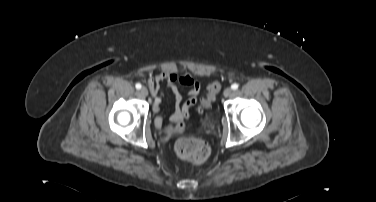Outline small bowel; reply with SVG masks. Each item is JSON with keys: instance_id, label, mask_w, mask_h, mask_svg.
Here are the masks:
<instances>
[{"instance_id": "small-bowel-1", "label": "small bowel", "mask_w": 376, "mask_h": 202, "mask_svg": "<svg viewBox=\"0 0 376 202\" xmlns=\"http://www.w3.org/2000/svg\"><path fill=\"white\" fill-rule=\"evenodd\" d=\"M162 83H166L171 88L175 98L174 111L170 116V120L175 123H181L183 119L189 116L190 108L196 104L198 94L201 90V84L189 74L178 76L173 71H163L155 77L148 78L147 85L150 93L154 97L153 108L158 113L155 121L157 126L161 125L163 119L162 115L159 113L163 99V92L161 90ZM178 85H182L188 89V98L185 101H183Z\"/></svg>"}]
</instances>
